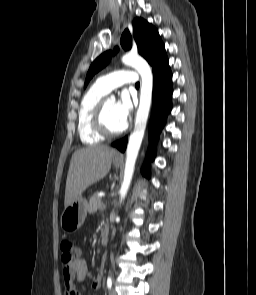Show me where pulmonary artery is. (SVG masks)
Segmentation results:
<instances>
[{"mask_svg":"<svg viewBox=\"0 0 256 295\" xmlns=\"http://www.w3.org/2000/svg\"><path fill=\"white\" fill-rule=\"evenodd\" d=\"M137 79L136 72L122 69L98 78L96 85L104 92L109 93L124 84H135Z\"/></svg>","mask_w":256,"mask_h":295,"instance_id":"obj_1","label":"pulmonary artery"}]
</instances>
